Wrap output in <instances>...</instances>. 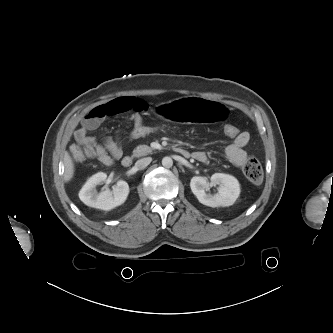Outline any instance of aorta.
<instances>
[{"mask_svg": "<svg viewBox=\"0 0 333 333\" xmlns=\"http://www.w3.org/2000/svg\"><path fill=\"white\" fill-rule=\"evenodd\" d=\"M162 165H163L165 168H171L172 165H173V160H172V158H171V157H168V156L164 157V158L162 159Z\"/></svg>", "mask_w": 333, "mask_h": 333, "instance_id": "1", "label": "aorta"}]
</instances>
